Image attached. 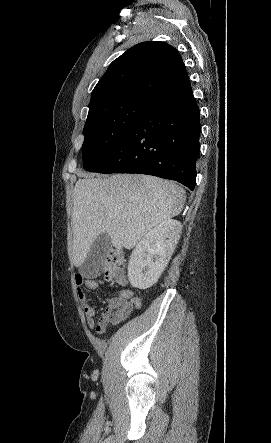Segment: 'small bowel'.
I'll return each instance as SVG.
<instances>
[{"instance_id":"obj_1","label":"small bowel","mask_w":271,"mask_h":443,"mask_svg":"<svg viewBox=\"0 0 271 443\" xmlns=\"http://www.w3.org/2000/svg\"><path fill=\"white\" fill-rule=\"evenodd\" d=\"M77 285V295L86 317L87 326L94 329L98 334L105 333L109 325H118L126 320L130 314L141 307V300L134 297L129 289H123L116 295L107 298V307L101 317L96 318V310L89 303L88 297L83 288L96 290L102 284L103 280L99 278H88L77 274L75 276Z\"/></svg>"}]
</instances>
